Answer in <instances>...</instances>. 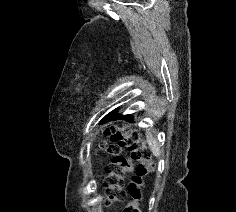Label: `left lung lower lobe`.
<instances>
[{"label": "left lung lower lobe", "mask_w": 236, "mask_h": 212, "mask_svg": "<svg viewBox=\"0 0 236 212\" xmlns=\"http://www.w3.org/2000/svg\"><path fill=\"white\" fill-rule=\"evenodd\" d=\"M115 111H113V112H115ZM110 115H111V113H109L107 116H105L104 120H106ZM115 119H124V120H127V121H132L133 120V116L131 114H128V115H116L111 120H115Z\"/></svg>", "instance_id": "left-lung-lower-lobe-1"}]
</instances>
